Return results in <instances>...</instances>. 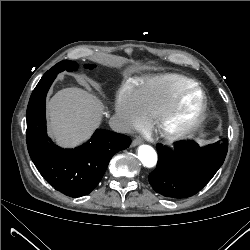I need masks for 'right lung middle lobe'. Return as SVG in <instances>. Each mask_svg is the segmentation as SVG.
<instances>
[{"mask_svg":"<svg viewBox=\"0 0 250 250\" xmlns=\"http://www.w3.org/2000/svg\"><path fill=\"white\" fill-rule=\"evenodd\" d=\"M84 67L88 69H92L95 66L86 64L84 65ZM77 68H78V64L76 62L70 61V60H63L57 63L55 66H53L49 71H47L43 77L49 76L52 74H58L59 72H62L64 70L73 71V70H76Z\"/></svg>","mask_w":250,"mask_h":250,"instance_id":"dd1d6c3e","label":"right lung middle lobe"}]
</instances>
